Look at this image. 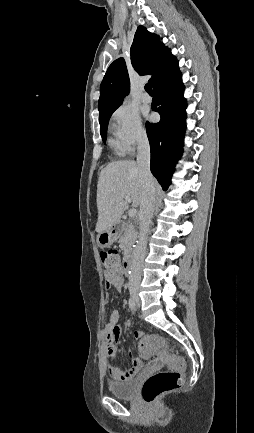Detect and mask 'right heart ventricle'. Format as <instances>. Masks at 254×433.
Masks as SVG:
<instances>
[{
	"mask_svg": "<svg viewBox=\"0 0 254 433\" xmlns=\"http://www.w3.org/2000/svg\"><path fill=\"white\" fill-rule=\"evenodd\" d=\"M109 142H110V145H111L113 148H115L116 150H118V149H117V145H116V141H115V140L111 139Z\"/></svg>",
	"mask_w": 254,
	"mask_h": 433,
	"instance_id": "1",
	"label": "right heart ventricle"
}]
</instances>
